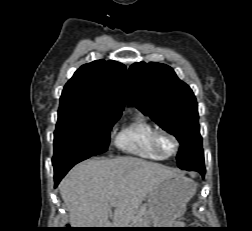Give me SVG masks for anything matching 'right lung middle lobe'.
Listing matches in <instances>:
<instances>
[{
  "mask_svg": "<svg viewBox=\"0 0 252 231\" xmlns=\"http://www.w3.org/2000/svg\"><path fill=\"white\" fill-rule=\"evenodd\" d=\"M120 115L78 107L59 108L53 166L106 152L111 128Z\"/></svg>",
  "mask_w": 252,
  "mask_h": 231,
  "instance_id": "dd1d6c3e",
  "label": "right lung middle lobe"
}]
</instances>
